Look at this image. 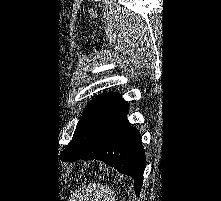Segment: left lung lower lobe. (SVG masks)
I'll return each mask as SVG.
<instances>
[{
    "mask_svg": "<svg viewBox=\"0 0 221 201\" xmlns=\"http://www.w3.org/2000/svg\"><path fill=\"white\" fill-rule=\"evenodd\" d=\"M128 108L125 101L113 107L91 141L76 155L63 161L102 160L120 173L131 176L134 179L135 193L139 196L146 158L139 131L126 119Z\"/></svg>",
    "mask_w": 221,
    "mask_h": 201,
    "instance_id": "obj_1",
    "label": "left lung lower lobe"
}]
</instances>
